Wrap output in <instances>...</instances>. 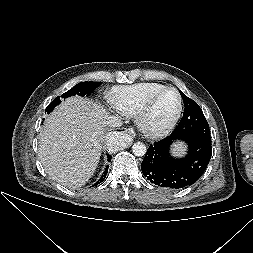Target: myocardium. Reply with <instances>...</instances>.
I'll return each instance as SVG.
<instances>
[{
    "label": "myocardium",
    "mask_w": 253,
    "mask_h": 253,
    "mask_svg": "<svg viewBox=\"0 0 253 253\" xmlns=\"http://www.w3.org/2000/svg\"><path fill=\"white\" fill-rule=\"evenodd\" d=\"M167 91H173L177 95V98H178L177 110L175 114L173 115V117L166 124L160 127H156V128L150 127L147 123V116L154 102L156 101V99ZM182 106H183L182 96L180 92L174 87H164L154 92L153 94H151L145 99L142 107L140 108L138 114L136 115V124L139 130L146 136L151 137V138L161 137L167 134L176 125L182 112Z\"/></svg>",
    "instance_id": "myocardium-1"
}]
</instances>
